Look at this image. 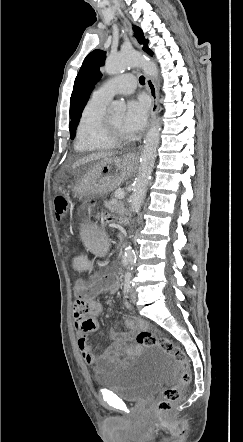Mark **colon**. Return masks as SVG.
<instances>
[{
	"instance_id": "obj_1",
	"label": "colon",
	"mask_w": 243,
	"mask_h": 442,
	"mask_svg": "<svg viewBox=\"0 0 243 442\" xmlns=\"http://www.w3.org/2000/svg\"><path fill=\"white\" fill-rule=\"evenodd\" d=\"M55 211L58 220H62L68 209V202L63 196H57L54 199ZM85 206L90 209L94 206L93 202H87ZM99 224L102 222H110L111 226H117L119 229L127 227H136L138 218L129 216L127 213H100ZM141 227V224H138ZM85 311L84 308H82ZM137 343L142 347H159L165 354L171 356L180 366L178 383L165 389L162 399L157 406V417L159 419H167L175 405L182 396L183 389L188 386L192 379L189 360L186 353L166 337H159L151 332H140L137 335Z\"/></svg>"
}]
</instances>
